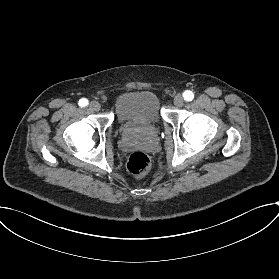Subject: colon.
Wrapping results in <instances>:
<instances>
[{"instance_id":"1","label":"colon","mask_w":279,"mask_h":279,"mask_svg":"<svg viewBox=\"0 0 279 279\" xmlns=\"http://www.w3.org/2000/svg\"><path fill=\"white\" fill-rule=\"evenodd\" d=\"M150 165L149 157L145 153L137 151L129 156L126 167L131 175L138 176L146 174Z\"/></svg>"}]
</instances>
